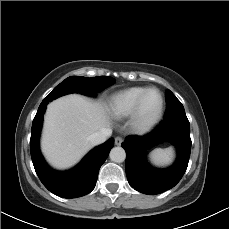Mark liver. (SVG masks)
I'll list each match as a JSON object with an SVG mask.
<instances>
[{"label": "liver", "mask_w": 229, "mask_h": 229, "mask_svg": "<svg viewBox=\"0 0 229 229\" xmlns=\"http://www.w3.org/2000/svg\"><path fill=\"white\" fill-rule=\"evenodd\" d=\"M109 125L104 104L77 94L58 98L47 107L42 152L52 166L69 168L92 148L89 136Z\"/></svg>", "instance_id": "6515ba94"}]
</instances>
